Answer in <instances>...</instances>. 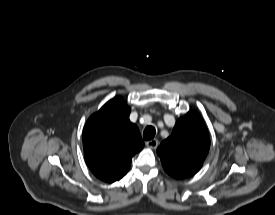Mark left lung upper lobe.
<instances>
[{"label": "left lung upper lobe", "mask_w": 275, "mask_h": 215, "mask_svg": "<svg viewBox=\"0 0 275 215\" xmlns=\"http://www.w3.org/2000/svg\"><path fill=\"white\" fill-rule=\"evenodd\" d=\"M210 138L202 117L189 111L157 149L164 170L175 179L197 173L208 154Z\"/></svg>", "instance_id": "1"}]
</instances>
